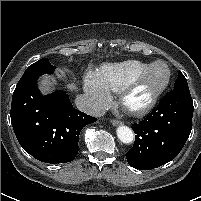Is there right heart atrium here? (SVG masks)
Here are the masks:
<instances>
[{"mask_svg": "<svg viewBox=\"0 0 201 201\" xmlns=\"http://www.w3.org/2000/svg\"><path fill=\"white\" fill-rule=\"evenodd\" d=\"M86 106L93 114L100 113L110 102L111 93L98 77L97 72H89L84 80Z\"/></svg>", "mask_w": 201, "mask_h": 201, "instance_id": "obj_1", "label": "right heart atrium"}]
</instances>
